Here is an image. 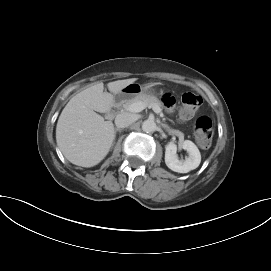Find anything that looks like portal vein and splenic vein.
<instances>
[{"mask_svg": "<svg viewBox=\"0 0 271 271\" xmlns=\"http://www.w3.org/2000/svg\"><path fill=\"white\" fill-rule=\"evenodd\" d=\"M146 104L143 103V102H136V103H133L131 105L128 106L127 110L129 112H134V113H138V112H141L143 111L145 108H146ZM153 111L157 114L161 113V108H159L158 106H151Z\"/></svg>", "mask_w": 271, "mask_h": 271, "instance_id": "obj_1", "label": "portal vein and splenic vein"}]
</instances>
